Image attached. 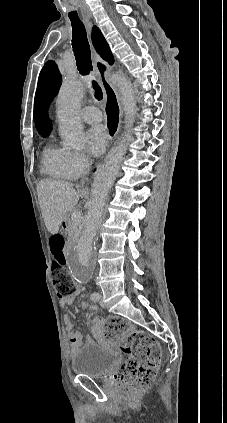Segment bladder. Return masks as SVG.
Listing matches in <instances>:
<instances>
[{"label":"bladder","instance_id":"obj_1","mask_svg":"<svg viewBox=\"0 0 227 423\" xmlns=\"http://www.w3.org/2000/svg\"><path fill=\"white\" fill-rule=\"evenodd\" d=\"M121 362L115 352L101 348L97 343L84 344L73 356L72 371L91 379H107Z\"/></svg>","mask_w":227,"mask_h":423}]
</instances>
